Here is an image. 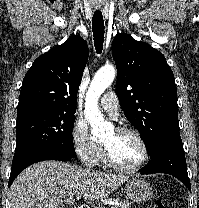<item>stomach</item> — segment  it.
Segmentation results:
<instances>
[{
  "label": "stomach",
  "instance_id": "stomach-1",
  "mask_svg": "<svg viewBox=\"0 0 199 208\" xmlns=\"http://www.w3.org/2000/svg\"><path fill=\"white\" fill-rule=\"evenodd\" d=\"M127 196L134 202H145L148 201L153 191L149 183L141 179H129L126 184Z\"/></svg>",
  "mask_w": 199,
  "mask_h": 208
}]
</instances>
